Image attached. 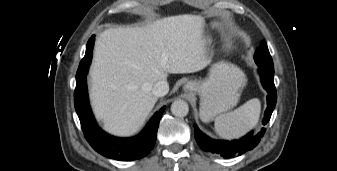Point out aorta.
Listing matches in <instances>:
<instances>
[{
	"label": "aorta",
	"instance_id": "762f6f07",
	"mask_svg": "<svg viewBox=\"0 0 337 171\" xmlns=\"http://www.w3.org/2000/svg\"><path fill=\"white\" fill-rule=\"evenodd\" d=\"M171 112L174 116L185 117L189 112V106L184 100H175L171 105Z\"/></svg>",
	"mask_w": 337,
	"mask_h": 171
}]
</instances>
